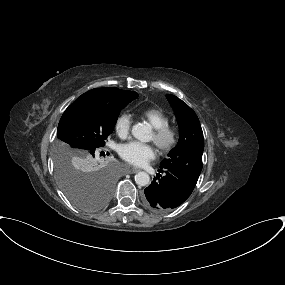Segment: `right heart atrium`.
Instances as JSON below:
<instances>
[{"label": "right heart atrium", "mask_w": 285, "mask_h": 285, "mask_svg": "<svg viewBox=\"0 0 285 285\" xmlns=\"http://www.w3.org/2000/svg\"><path fill=\"white\" fill-rule=\"evenodd\" d=\"M132 127V118L129 114H120L114 122V130L120 138H127Z\"/></svg>", "instance_id": "right-heart-atrium-1"}]
</instances>
